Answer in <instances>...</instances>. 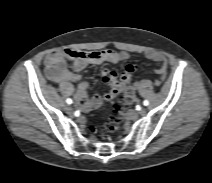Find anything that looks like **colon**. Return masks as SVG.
Returning <instances> with one entry per match:
<instances>
[{
  "label": "colon",
  "mask_w": 212,
  "mask_h": 183,
  "mask_svg": "<svg viewBox=\"0 0 212 183\" xmlns=\"http://www.w3.org/2000/svg\"><path fill=\"white\" fill-rule=\"evenodd\" d=\"M135 94L132 86H127L125 94L119 100V102L114 106L110 121L105 126V129L109 131L116 130L122 122L126 109L134 102ZM92 131H96V127L91 128Z\"/></svg>",
  "instance_id": "obj_1"
}]
</instances>
